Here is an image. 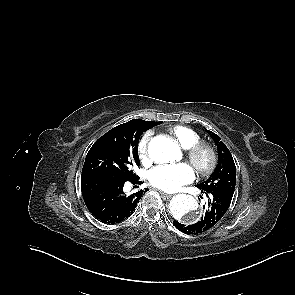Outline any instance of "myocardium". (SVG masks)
Returning a JSON list of instances; mask_svg holds the SVG:
<instances>
[{
  "label": "myocardium",
  "mask_w": 295,
  "mask_h": 295,
  "mask_svg": "<svg viewBox=\"0 0 295 295\" xmlns=\"http://www.w3.org/2000/svg\"><path fill=\"white\" fill-rule=\"evenodd\" d=\"M186 156L200 176L210 175L218 161L215 148L206 142H199L187 149ZM203 157H206V161L202 160Z\"/></svg>",
  "instance_id": "myocardium-1"
}]
</instances>
